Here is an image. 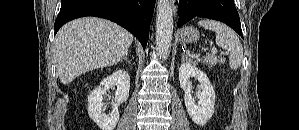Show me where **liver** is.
I'll list each match as a JSON object with an SVG mask.
<instances>
[{
    "mask_svg": "<svg viewBox=\"0 0 299 130\" xmlns=\"http://www.w3.org/2000/svg\"><path fill=\"white\" fill-rule=\"evenodd\" d=\"M133 41V35L109 20L86 17L73 20L57 33L53 54L62 84L90 70L117 64Z\"/></svg>",
    "mask_w": 299,
    "mask_h": 130,
    "instance_id": "obj_1",
    "label": "liver"
}]
</instances>
